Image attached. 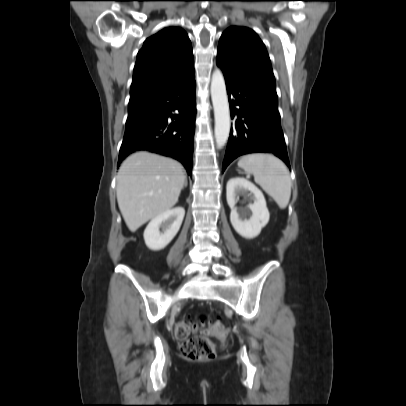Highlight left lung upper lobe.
I'll return each mask as SVG.
<instances>
[{
    "mask_svg": "<svg viewBox=\"0 0 406 406\" xmlns=\"http://www.w3.org/2000/svg\"><path fill=\"white\" fill-rule=\"evenodd\" d=\"M217 60L275 88V78L265 45L247 27H229L221 36Z\"/></svg>",
    "mask_w": 406,
    "mask_h": 406,
    "instance_id": "obj_1",
    "label": "left lung upper lobe"
}]
</instances>
